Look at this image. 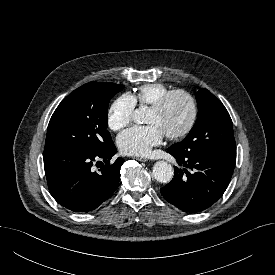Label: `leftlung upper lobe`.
Listing matches in <instances>:
<instances>
[{
	"instance_id": "obj_1",
	"label": "left lung upper lobe",
	"mask_w": 275,
	"mask_h": 275,
	"mask_svg": "<svg viewBox=\"0 0 275 275\" xmlns=\"http://www.w3.org/2000/svg\"><path fill=\"white\" fill-rule=\"evenodd\" d=\"M195 96L198 103L197 121L187 137L171 148L182 155L209 151L236 156L233 124L224 105L204 88Z\"/></svg>"
}]
</instances>
